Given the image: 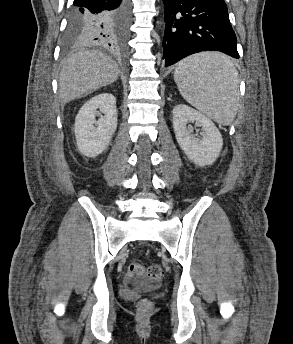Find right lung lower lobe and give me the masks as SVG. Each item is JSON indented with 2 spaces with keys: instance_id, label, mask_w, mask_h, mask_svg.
Instances as JSON below:
<instances>
[{
  "instance_id": "right-lung-lower-lobe-1",
  "label": "right lung lower lobe",
  "mask_w": 293,
  "mask_h": 344,
  "mask_svg": "<svg viewBox=\"0 0 293 344\" xmlns=\"http://www.w3.org/2000/svg\"><path fill=\"white\" fill-rule=\"evenodd\" d=\"M73 11L84 13L85 43L122 48L130 20V0H74Z\"/></svg>"
}]
</instances>
